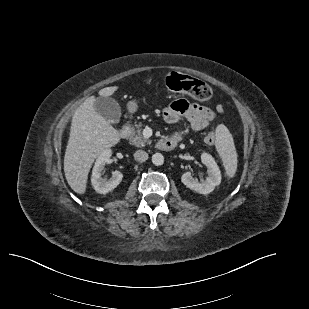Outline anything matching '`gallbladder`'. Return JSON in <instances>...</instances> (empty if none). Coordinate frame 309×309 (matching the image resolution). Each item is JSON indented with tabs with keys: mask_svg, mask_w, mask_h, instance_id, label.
<instances>
[{
	"mask_svg": "<svg viewBox=\"0 0 309 309\" xmlns=\"http://www.w3.org/2000/svg\"><path fill=\"white\" fill-rule=\"evenodd\" d=\"M98 114L111 123H118L121 117V108L116 100L111 97L99 96L94 102Z\"/></svg>",
	"mask_w": 309,
	"mask_h": 309,
	"instance_id": "obj_1",
	"label": "gallbladder"
}]
</instances>
